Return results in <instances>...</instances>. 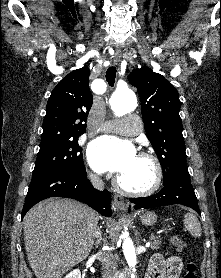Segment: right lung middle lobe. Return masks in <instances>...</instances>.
<instances>
[{"label": "right lung middle lobe", "mask_w": 221, "mask_h": 278, "mask_svg": "<svg viewBox=\"0 0 221 278\" xmlns=\"http://www.w3.org/2000/svg\"><path fill=\"white\" fill-rule=\"evenodd\" d=\"M85 167L78 136L41 142L31 183L60 172L82 173Z\"/></svg>", "instance_id": "obj_1"}]
</instances>
